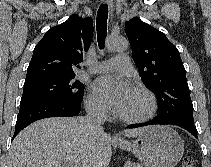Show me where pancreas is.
I'll use <instances>...</instances> for the list:
<instances>
[{
  "instance_id": "pancreas-1",
  "label": "pancreas",
  "mask_w": 211,
  "mask_h": 167,
  "mask_svg": "<svg viewBox=\"0 0 211 167\" xmlns=\"http://www.w3.org/2000/svg\"><path fill=\"white\" fill-rule=\"evenodd\" d=\"M124 167H142V165L135 163V162H126Z\"/></svg>"
}]
</instances>
